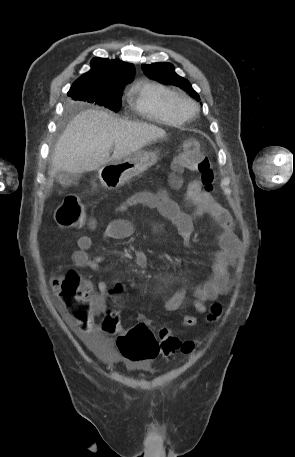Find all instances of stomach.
<instances>
[{"label":"stomach","mask_w":295,"mask_h":457,"mask_svg":"<svg viewBox=\"0 0 295 457\" xmlns=\"http://www.w3.org/2000/svg\"><path fill=\"white\" fill-rule=\"evenodd\" d=\"M158 151L138 150L102 166L98 173L103 187L117 189L157 163Z\"/></svg>","instance_id":"stomach-1"}]
</instances>
